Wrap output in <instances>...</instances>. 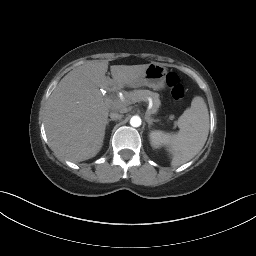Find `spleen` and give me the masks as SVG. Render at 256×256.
I'll list each match as a JSON object with an SVG mask.
<instances>
[{
  "label": "spleen",
  "mask_w": 256,
  "mask_h": 256,
  "mask_svg": "<svg viewBox=\"0 0 256 256\" xmlns=\"http://www.w3.org/2000/svg\"><path fill=\"white\" fill-rule=\"evenodd\" d=\"M179 132L166 140L172 155L171 166L177 167L191 160L205 145L209 133V113L204 99L193 98L191 107L180 116Z\"/></svg>",
  "instance_id": "obj_1"
}]
</instances>
